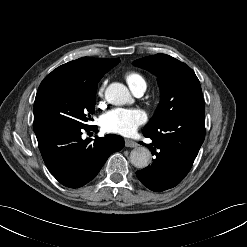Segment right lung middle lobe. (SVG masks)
<instances>
[{"mask_svg":"<svg viewBox=\"0 0 247 247\" xmlns=\"http://www.w3.org/2000/svg\"><path fill=\"white\" fill-rule=\"evenodd\" d=\"M96 89L49 85L39 88L34 102L33 128L42 125H66L87 128L95 109Z\"/></svg>","mask_w":247,"mask_h":247,"instance_id":"1","label":"right lung middle lobe"}]
</instances>
